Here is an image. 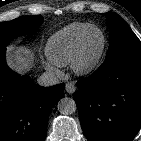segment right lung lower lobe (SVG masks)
Segmentation results:
<instances>
[{
    "label": "right lung lower lobe",
    "instance_id": "right-lung-lower-lobe-1",
    "mask_svg": "<svg viewBox=\"0 0 141 141\" xmlns=\"http://www.w3.org/2000/svg\"><path fill=\"white\" fill-rule=\"evenodd\" d=\"M0 48V141H44L49 111L64 96V84L40 87L11 71Z\"/></svg>",
    "mask_w": 141,
    "mask_h": 141
}]
</instances>
